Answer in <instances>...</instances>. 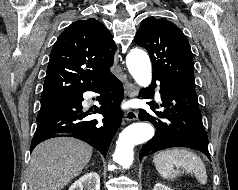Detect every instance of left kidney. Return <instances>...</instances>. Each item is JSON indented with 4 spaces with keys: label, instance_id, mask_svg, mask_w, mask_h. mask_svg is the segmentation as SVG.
I'll use <instances>...</instances> for the list:
<instances>
[{
    "label": "left kidney",
    "instance_id": "obj_1",
    "mask_svg": "<svg viewBox=\"0 0 238 190\" xmlns=\"http://www.w3.org/2000/svg\"><path fill=\"white\" fill-rule=\"evenodd\" d=\"M153 190H173V189H171V188L165 186V185L162 184V183H157V184L154 186Z\"/></svg>",
    "mask_w": 238,
    "mask_h": 190
}]
</instances>
